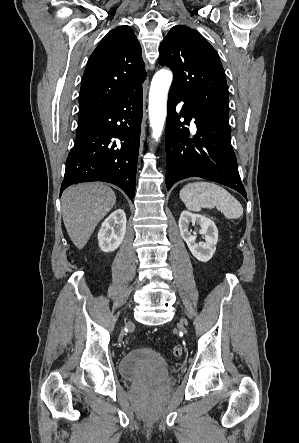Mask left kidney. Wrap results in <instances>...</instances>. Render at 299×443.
Here are the masks:
<instances>
[{
  "mask_svg": "<svg viewBox=\"0 0 299 443\" xmlns=\"http://www.w3.org/2000/svg\"><path fill=\"white\" fill-rule=\"evenodd\" d=\"M198 224L200 226L199 233L205 236V242H196V236L189 232V224ZM179 230L183 240L187 243L192 255L201 262L209 261L215 250L218 241V229L215 223L200 214H193L183 211L179 218Z\"/></svg>",
  "mask_w": 299,
  "mask_h": 443,
  "instance_id": "5707ae66",
  "label": "left kidney"
}]
</instances>
